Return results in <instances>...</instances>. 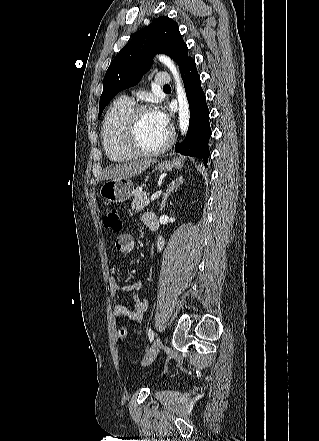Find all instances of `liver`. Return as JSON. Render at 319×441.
Here are the masks:
<instances>
[{
	"label": "liver",
	"instance_id": "obj_1",
	"mask_svg": "<svg viewBox=\"0 0 319 441\" xmlns=\"http://www.w3.org/2000/svg\"><path fill=\"white\" fill-rule=\"evenodd\" d=\"M156 162V159H141L112 165L103 171L101 178L102 180H109L135 177Z\"/></svg>",
	"mask_w": 319,
	"mask_h": 441
}]
</instances>
